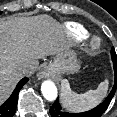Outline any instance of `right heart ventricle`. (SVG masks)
I'll use <instances>...</instances> for the list:
<instances>
[{"mask_svg": "<svg viewBox=\"0 0 117 117\" xmlns=\"http://www.w3.org/2000/svg\"><path fill=\"white\" fill-rule=\"evenodd\" d=\"M69 35L75 41H83L89 36V32L82 25L76 23H69L68 26Z\"/></svg>", "mask_w": 117, "mask_h": 117, "instance_id": "right-heart-ventricle-1", "label": "right heart ventricle"}]
</instances>
